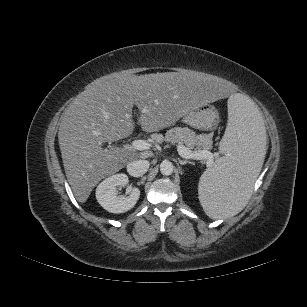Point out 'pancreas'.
Wrapping results in <instances>:
<instances>
[{
	"label": "pancreas",
	"mask_w": 307,
	"mask_h": 307,
	"mask_svg": "<svg viewBox=\"0 0 307 307\" xmlns=\"http://www.w3.org/2000/svg\"><path fill=\"white\" fill-rule=\"evenodd\" d=\"M156 142H170L172 144L185 145L189 149L207 150L210 147V141L204 134H196L188 127H174L165 133V136L156 134Z\"/></svg>",
	"instance_id": "1"
}]
</instances>
